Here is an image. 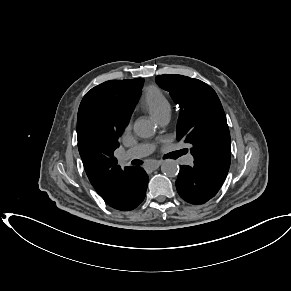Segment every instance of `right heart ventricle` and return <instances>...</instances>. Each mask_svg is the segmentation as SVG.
I'll return each instance as SVG.
<instances>
[{
    "mask_svg": "<svg viewBox=\"0 0 291 291\" xmlns=\"http://www.w3.org/2000/svg\"><path fill=\"white\" fill-rule=\"evenodd\" d=\"M142 106L156 119L157 117L171 111V103L166 95L156 86L146 89Z\"/></svg>",
    "mask_w": 291,
    "mask_h": 291,
    "instance_id": "1",
    "label": "right heart ventricle"
}]
</instances>
